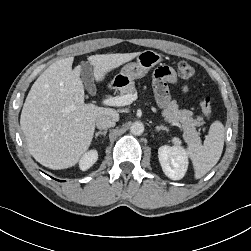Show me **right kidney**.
<instances>
[{
  "label": "right kidney",
  "instance_id": "1",
  "mask_svg": "<svg viewBox=\"0 0 251 251\" xmlns=\"http://www.w3.org/2000/svg\"><path fill=\"white\" fill-rule=\"evenodd\" d=\"M98 159L96 150L86 152L80 159L79 167L82 171L89 169Z\"/></svg>",
  "mask_w": 251,
  "mask_h": 251
}]
</instances>
